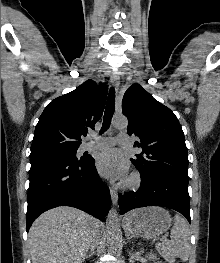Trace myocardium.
I'll list each match as a JSON object with an SVG mask.
<instances>
[{"label":"myocardium","instance_id":"myocardium-1","mask_svg":"<svg viewBox=\"0 0 220 263\" xmlns=\"http://www.w3.org/2000/svg\"><path fill=\"white\" fill-rule=\"evenodd\" d=\"M141 184V176L139 173H132L127 180L124 182V188L128 190H135Z\"/></svg>","mask_w":220,"mask_h":263}]
</instances>
